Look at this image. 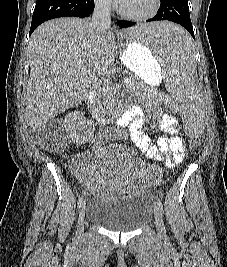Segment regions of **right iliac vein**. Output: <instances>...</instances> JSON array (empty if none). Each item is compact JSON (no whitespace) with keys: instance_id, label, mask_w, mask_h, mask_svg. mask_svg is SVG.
I'll return each instance as SVG.
<instances>
[{"instance_id":"obj_1","label":"right iliac vein","mask_w":227,"mask_h":267,"mask_svg":"<svg viewBox=\"0 0 227 267\" xmlns=\"http://www.w3.org/2000/svg\"><path fill=\"white\" fill-rule=\"evenodd\" d=\"M85 213H86V208H85V203H84L82 205L81 211L79 213V218H78V225H77V236L78 237H81L84 232Z\"/></svg>"}]
</instances>
